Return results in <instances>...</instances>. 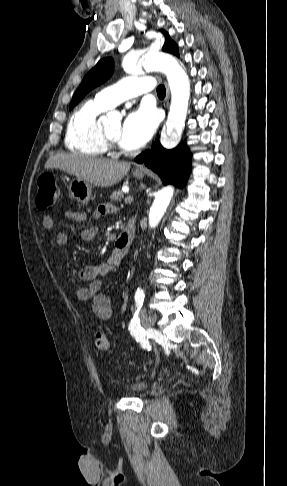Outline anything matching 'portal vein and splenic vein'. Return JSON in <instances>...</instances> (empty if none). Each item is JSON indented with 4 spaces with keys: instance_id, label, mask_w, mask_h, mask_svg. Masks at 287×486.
Here are the masks:
<instances>
[{
    "instance_id": "obj_1",
    "label": "portal vein and splenic vein",
    "mask_w": 287,
    "mask_h": 486,
    "mask_svg": "<svg viewBox=\"0 0 287 486\" xmlns=\"http://www.w3.org/2000/svg\"><path fill=\"white\" fill-rule=\"evenodd\" d=\"M132 202H133V197L132 196L129 195V196H127L125 198V203L126 204H131Z\"/></svg>"
}]
</instances>
